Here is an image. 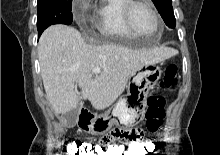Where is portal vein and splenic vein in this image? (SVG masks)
Masks as SVG:
<instances>
[{"mask_svg": "<svg viewBox=\"0 0 220 155\" xmlns=\"http://www.w3.org/2000/svg\"><path fill=\"white\" fill-rule=\"evenodd\" d=\"M100 72H101V68H99V67H96V68L93 69V74L94 75H98Z\"/></svg>", "mask_w": 220, "mask_h": 155, "instance_id": "1", "label": "portal vein and splenic vein"}]
</instances>
